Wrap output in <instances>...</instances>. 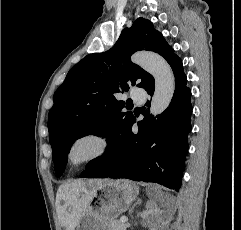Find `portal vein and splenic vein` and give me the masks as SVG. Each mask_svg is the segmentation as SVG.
I'll return each mask as SVG.
<instances>
[{"label": "portal vein and splenic vein", "instance_id": "18ae733b", "mask_svg": "<svg viewBox=\"0 0 241 230\" xmlns=\"http://www.w3.org/2000/svg\"><path fill=\"white\" fill-rule=\"evenodd\" d=\"M120 221H121L122 223H126V222L128 221V219H127L126 217H121V218H120Z\"/></svg>", "mask_w": 241, "mask_h": 230}]
</instances>
